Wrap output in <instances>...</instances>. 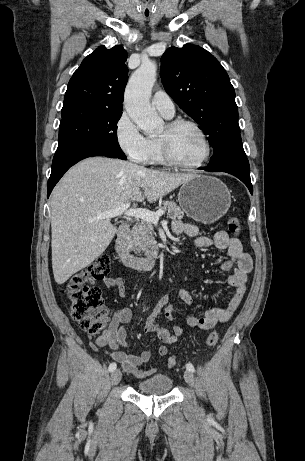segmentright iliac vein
Segmentation results:
<instances>
[{"instance_id": "right-iliac-vein-1", "label": "right iliac vein", "mask_w": 305, "mask_h": 461, "mask_svg": "<svg viewBox=\"0 0 305 461\" xmlns=\"http://www.w3.org/2000/svg\"><path fill=\"white\" fill-rule=\"evenodd\" d=\"M122 378V373L120 370H114L111 374V378H110V382H111V385H116L120 382Z\"/></svg>"}]
</instances>
